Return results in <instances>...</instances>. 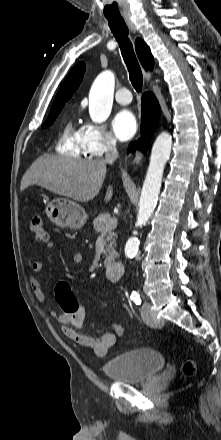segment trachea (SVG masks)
Segmentation results:
<instances>
[{
  "label": "trachea",
  "mask_w": 221,
  "mask_h": 440,
  "mask_svg": "<svg viewBox=\"0 0 221 440\" xmlns=\"http://www.w3.org/2000/svg\"><path fill=\"white\" fill-rule=\"evenodd\" d=\"M109 27L119 43L124 62L129 71L130 81L137 92H140L143 85L141 68L134 54L132 43L128 38V28L123 18L107 17Z\"/></svg>",
  "instance_id": "obj_1"
}]
</instances>
